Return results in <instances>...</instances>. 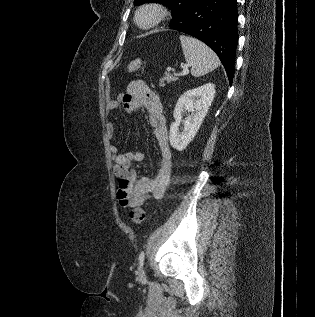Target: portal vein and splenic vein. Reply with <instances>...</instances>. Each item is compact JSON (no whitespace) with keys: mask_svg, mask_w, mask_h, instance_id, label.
<instances>
[{"mask_svg":"<svg viewBox=\"0 0 315 317\" xmlns=\"http://www.w3.org/2000/svg\"><path fill=\"white\" fill-rule=\"evenodd\" d=\"M167 70H171V68H167ZM189 73V70L187 68H184L182 72L179 73V75L184 76Z\"/></svg>","mask_w":315,"mask_h":317,"instance_id":"obj_1","label":"portal vein and splenic vein"}]
</instances>
